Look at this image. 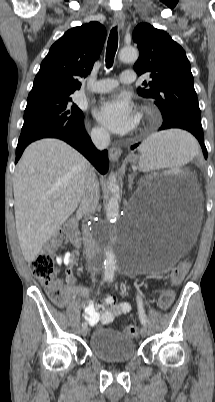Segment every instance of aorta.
<instances>
[{"label": "aorta", "mask_w": 215, "mask_h": 402, "mask_svg": "<svg viewBox=\"0 0 215 402\" xmlns=\"http://www.w3.org/2000/svg\"><path fill=\"white\" fill-rule=\"evenodd\" d=\"M138 56V50L134 47H124L119 52L120 61L125 63L135 62L138 59ZM108 188L111 192V197L107 205L106 217L110 222H113L119 217V202L117 198L119 185L113 173L109 176ZM97 255L104 263V276L110 279L113 278L118 253L116 247L114 246V239L108 230L103 232L102 240L98 245Z\"/></svg>", "instance_id": "aorta-1"}]
</instances>
